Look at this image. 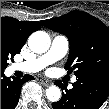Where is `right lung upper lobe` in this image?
<instances>
[{
    "label": "right lung upper lobe",
    "instance_id": "obj_1",
    "mask_svg": "<svg viewBox=\"0 0 109 109\" xmlns=\"http://www.w3.org/2000/svg\"><path fill=\"white\" fill-rule=\"evenodd\" d=\"M41 28L38 21H18L12 17H1V39L20 52L29 35Z\"/></svg>",
    "mask_w": 109,
    "mask_h": 109
}]
</instances>
